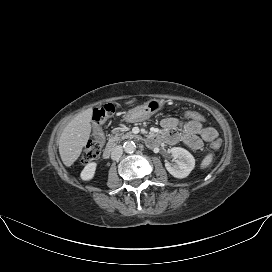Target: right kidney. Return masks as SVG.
<instances>
[{"mask_svg":"<svg viewBox=\"0 0 272 272\" xmlns=\"http://www.w3.org/2000/svg\"><path fill=\"white\" fill-rule=\"evenodd\" d=\"M96 167H97V163L95 162L88 163L80 174L81 179L84 181H89L93 179Z\"/></svg>","mask_w":272,"mask_h":272,"instance_id":"ca27d5eb","label":"right kidney"}]
</instances>
